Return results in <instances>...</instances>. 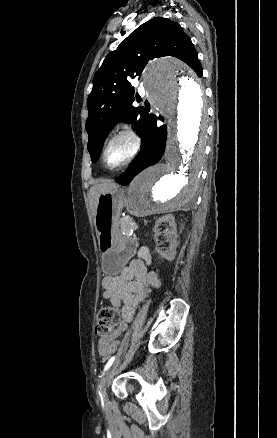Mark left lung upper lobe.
Wrapping results in <instances>:
<instances>
[{
  "label": "left lung upper lobe",
  "mask_w": 277,
  "mask_h": 438,
  "mask_svg": "<svg viewBox=\"0 0 277 438\" xmlns=\"http://www.w3.org/2000/svg\"><path fill=\"white\" fill-rule=\"evenodd\" d=\"M162 56L177 57L202 76L198 53L190 38L178 23L162 17L143 23L106 56L93 78L87 101L86 131L92 160L98 159L105 137L117 121L132 123L144 136L147 134L152 114L132 105L135 98L130 80L140 79L145 65Z\"/></svg>",
  "instance_id": "1"
}]
</instances>
